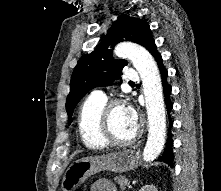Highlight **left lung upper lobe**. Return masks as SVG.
I'll list each match as a JSON object with an SVG mask.
<instances>
[{
    "mask_svg": "<svg viewBox=\"0 0 221 191\" xmlns=\"http://www.w3.org/2000/svg\"><path fill=\"white\" fill-rule=\"evenodd\" d=\"M122 41L137 43L146 49L154 41L148 23L140 18L120 16L101 43L78 61L71 76L70 93L66 100L68 123L78 102L93 88L111 85L120 77L128 63L112 57L115 44Z\"/></svg>",
    "mask_w": 221,
    "mask_h": 191,
    "instance_id": "5c2ea615",
    "label": "left lung upper lobe"
}]
</instances>
